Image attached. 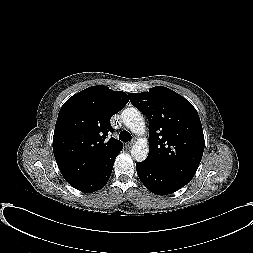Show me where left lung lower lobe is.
I'll return each mask as SVG.
<instances>
[{
	"mask_svg": "<svg viewBox=\"0 0 253 253\" xmlns=\"http://www.w3.org/2000/svg\"><path fill=\"white\" fill-rule=\"evenodd\" d=\"M136 171L141 182L151 192L158 195L171 194L188 183L160 170L147 161L137 162Z\"/></svg>",
	"mask_w": 253,
	"mask_h": 253,
	"instance_id": "obj_1",
	"label": "left lung lower lobe"
}]
</instances>
